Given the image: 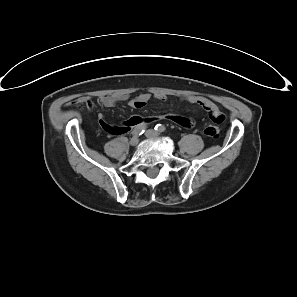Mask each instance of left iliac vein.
<instances>
[{
	"mask_svg": "<svg viewBox=\"0 0 297 297\" xmlns=\"http://www.w3.org/2000/svg\"><path fill=\"white\" fill-rule=\"evenodd\" d=\"M146 137H148V138H156V137H158V133L156 131H154V130H148L146 132Z\"/></svg>",
	"mask_w": 297,
	"mask_h": 297,
	"instance_id": "1",
	"label": "left iliac vein"
}]
</instances>
